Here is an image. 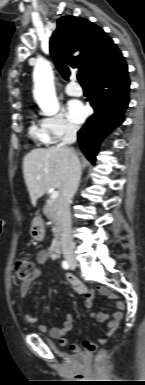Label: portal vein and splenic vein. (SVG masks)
I'll return each instance as SVG.
<instances>
[{
  "instance_id": "obj_1",
  "label": "portal vein and splenic vein",
  "mask_w": 145,
  "mask_h": 385,
  "mask_svg": "<svg viewBox=\"0 0 145 385\" xmlns=\"http://www.w3.org/2000/svg\"><path fill=\"white\" fill-rule=\"evenodd\" d=\"M50 197L54 200L57 199L59 197V191H53Z\"/></svg>"
}]
</instances>
